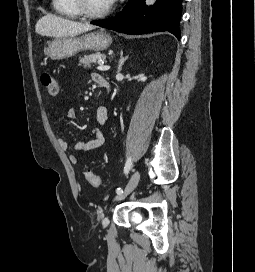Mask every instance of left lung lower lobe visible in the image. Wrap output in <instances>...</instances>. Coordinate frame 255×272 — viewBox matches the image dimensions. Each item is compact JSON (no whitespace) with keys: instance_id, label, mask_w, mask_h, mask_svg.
Wrapping results in <instances>:
<instances>
[{"instance_id":"0a47b994","label":"left lung lower lobe","mask_w":255,"mask_h":272,"mask_svg":"<svg viewBox=\"0 0 255 272\" xmlns=\"http://www.w3.org/2000/svg\"><path fill=\"white\" fill-rule=\"evenodd\" d=\"M181 13L182 0H158L151 7L145 0H130L115 17L91 23L126 34L168 31L180 39Z\"/></svg>"}]
</instances>
